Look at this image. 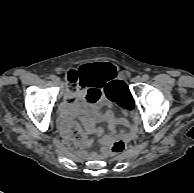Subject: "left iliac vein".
I'll return each mask as SVG.
<instances>
[{
  "label": "left iliac vein",
  "instance_id": "1",
  "mask_svg": "<svg viewBox=\"0 0 194 193\" xmlns=\"http://www.w3.org/2000/svg\"><path fill=\"white\" fill-rule=\"evenodd\" d=\"M142 81H144L143 77H137L136 78V82H142Z\"/></svg>",
  "mask_w": 194,
  "mask_h": 193
}]
</instances>
